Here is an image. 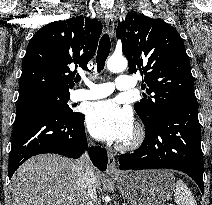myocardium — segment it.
<instances>
[{
    "mask_svg": "<svg viewBox=\"0 0 212 205\" xmlns=\"http://www.w3.org/2000/svg\"><path fill=\"white\" fill-rule=\"evenodd\" d=\"M145 138V131L141 126H136L132 135L121 143L120 148L123 150H133L139 147Z\"/></svg>",
    "mask_w": 212,
    "mask_h": 205,
    "instance_id": "obj_1",
    "label": "myocardium"
}]
</instances>
